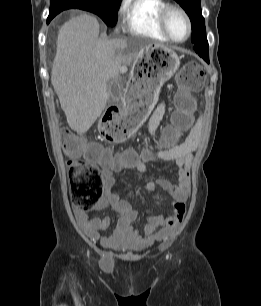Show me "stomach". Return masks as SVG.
<instances>
[{
    "label": "stomach",
    "instance_id": "0dacf381",
    "mask_svg": "<svg viewBox=\"0 0 261 306\" xmlns=\"http://www.w3.org/2000/svg\"><path fill=\"white\" fill-rule=\"evenodd\" d=\"M180 57L165 46H151L135 60V73L128 84L120 109V119L134 134L145 122L158 101L161 87L178 70Z\"/></svg>",
    "mask_w": 261,
    "mask_h": 306
}]
</instances>
